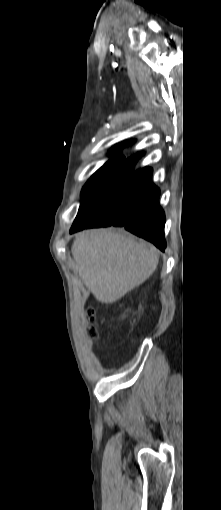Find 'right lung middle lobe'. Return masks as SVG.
Masks as SVG:
<instances>
[{
    "label": "right lung middle lobe",
    "mask_w": 221,
    "mask_h": 510,
    "mask_svg": "<svg viewBox=\"0 0 221 510\" xmlns=\"http://www.w3.org/2000/svg\"><path fill=\"white\" fill-rule=\"evenodd\" d=\"M142 156L140 153L126 159L120 154L113 155L83 187L81 204L100 217H115L141 171H134V164Z\"/></svg>",
    "instance_id": "right-lung-middle-lobe-1"
}]
</instances>
